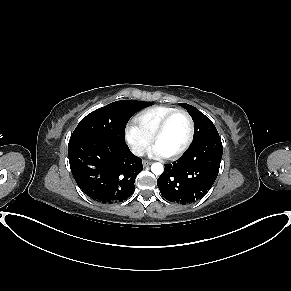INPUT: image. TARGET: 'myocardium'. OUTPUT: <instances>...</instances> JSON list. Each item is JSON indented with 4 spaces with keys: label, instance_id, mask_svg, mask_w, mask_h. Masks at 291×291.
I'll use <instances>...</instances> for the list:
<instances>
[{
    "label": "myocardium",
    "instance_id": "f54148a6",
    "mask_svg": "<svg viewBox=\"0 0 291 291\" xmlns=\"http://www.w3.org/2000/svg\"><path fill=\"white\" fill-rule=\"evenodd\" d=\"M178 114H182L184 115L189 123V135L187 138L186 143L184 144V146L179 149L177 152L166 155L165 157L168 159H177L180 156H182L191 146L193 139H194V130H195V126H194V121L191 117V115L183 109H176L173 112L169 113L159 124L158 128L156 129V131L154 132L153 136H152V142L153 144H156L157 140L160 138V136L164 133V131L167 128L168 123L170 122V120Z\"/></svg>",
    "mask_w": 291,
    "mask_h": 291
}]
</instances>
